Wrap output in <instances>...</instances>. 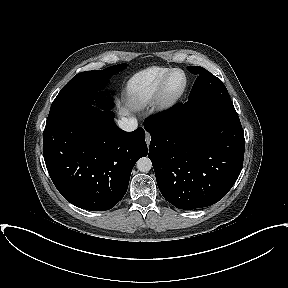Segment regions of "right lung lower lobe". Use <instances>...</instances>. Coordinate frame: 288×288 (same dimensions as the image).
I'll use <instances>...</instances> for the list:
<instances>
[{
    "label": "right lung lower lobe",
    "mask_w": 288,
    "mask_h": 288,
    "mask_svg": "<svg viewBox=\"0 0 288 288\" xmlns=\"http://www.w3.org/2000/svg\"><path fill=\"white\" fill-rule=\"evenodd\" d=\"M144 130H121L112 111L82 106L47 121L43 154L49 175L71 204L114 207L127 191L136 161L147 155Z\"/></svg>",
    "instance_id": "98d812e1"
}]
</instances>
